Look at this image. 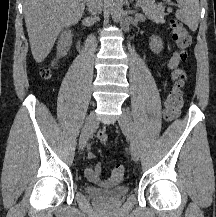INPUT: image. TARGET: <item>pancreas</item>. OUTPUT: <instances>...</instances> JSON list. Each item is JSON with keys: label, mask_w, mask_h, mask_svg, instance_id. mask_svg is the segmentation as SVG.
<instances>
[{"label": "pancreas", "mask_w": 216, "mask_h": 217, "mask_svg": "<svg viewBox=\"0 0 216 217\" xmlns=\"http://www.w3.org/2000/svg\"><path fill=\"white\" fill-rule=\"evenodd\" d=\"M141 7L150 20L155 23H164L165 8L155 4V0H144Z\"/></svg>", "instance_id": "cf45deb5"}]
</instances>
